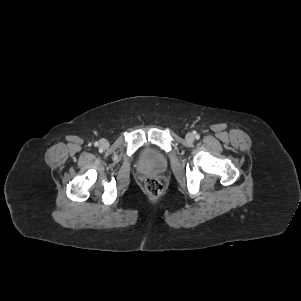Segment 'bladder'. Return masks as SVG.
<instances>
[{
	"label": "bladder",
	"instance_id": "31cf9c89",
	"mask_svg": "<svg viewBox=\"0 0 301 301\" xmlns=\"http://www.w3.org/2000/svg\"><path fill=\"white\" fill-rule=\"evenodd\" d=\"M140 165L143 169L161 172L166 168L165 156L154 148H146L140 156Z\"/></svg>",
	"mask_w": 301,
	"mask_h": 301
}]
</instances>
